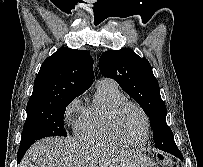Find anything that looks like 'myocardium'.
<instances>
[{"instance_id": "obj_1", "label": "myocardium", "mask_w": 203, "mask_h": 167, "mask_svg": "<svg viewBox=\"0 0 203 167\" xmlns=\"http://www.w3.org/2000/svg\"><path fill=\"white\" fill-rule=\"evenodd\" d=\"M127 107H133L135 109H137L143 119H144V124H145V133L143 138L138 141V142H131L128 141L127 139H125L122 134L120 133L119 129H118V119L119 116L121 115V113L127 108ZM108 128L111 132V134L117 139L119 140L121 143H123L124 145L127 146H131V147H140L142 145H144L149 137L150 134V118L147 114V112L144 110V108L139 105L136 102L133 101H129V100H123L121 102H119L117 104V106L114 108V110L112 111L109 120H108Z\"/></svg>"}]
</instances>
